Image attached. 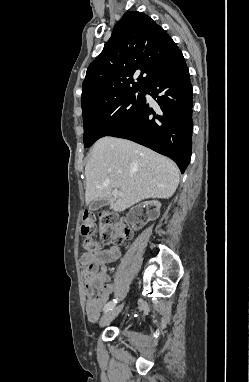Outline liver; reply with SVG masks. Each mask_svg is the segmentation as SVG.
I'll return each mask as SVG.
<instances>
[{
  "label": "liver",
  "mask_w": 249,
  "mask_h": 382,
  "mask_svg": "<svg viewBox=\"0 0 249 382\" xmlns=\"http://www.w3.org/2000/svg\"><path fill=\"white\" fill-rule=\"evenodd\" d=\"M85 177L86 203L105 198L115 212L144 199L170 198L180 179L172 160L130 140L110 136L93 145ZM114 189L124 196L113 198Z\"/></svg>",
  "instance_id": "1"
}]
</instances>
